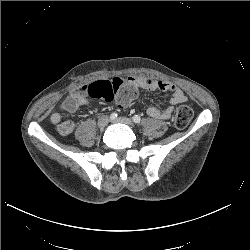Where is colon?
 I'll list each match as a JSON object with an SVG mask.
<instances>
[{"label": "colon", "instance_id": "5ec220e1", "mask_svg": "<svg viewBox=\"0 0 250 250\" xmlns=\"http://www.w3.org/2000/svg\"><path fill=\"white\" fill-rule=\"evenodd\" d=\"M87 93L94 99L112 101L116 99L120 107L125 108L134 99L132 89L120 90L112 80H99L87 86ZM193 110L187 105H181L175 111L174 125L178 129L186 128L193 118Z\"/></svg>", "mask_w": 250, "mask_h": 250}]
</instances>
